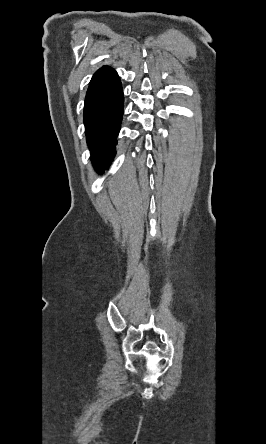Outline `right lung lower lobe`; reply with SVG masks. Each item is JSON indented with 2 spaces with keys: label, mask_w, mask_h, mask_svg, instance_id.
I'll use <instances>...</instances> for the list:
<instances>
[{
  "label": "right lung lower lobe",
  "mask_w": 266,
  "mask_h": 444,
  "mask_svg": "<svg viewBox=\"0 0 266 444\" xmlns=\"http://www.w3.org/2000/svg\"><path fill=\"white\" fill-rule=\"evenodd\" d=\"M123 91L114 69L103 66L93 75L85 98L84 125L91 160L103 172L115 156L123 115Z\"/></svg>",
  "instance_id": "right-lung-lower-lobe-1"
}]
</instances>
